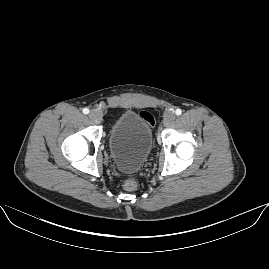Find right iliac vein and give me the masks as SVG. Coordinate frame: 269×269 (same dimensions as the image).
Listing matches in <instances>:
<instances>
[{"label": "right iliac vein", "mask_w": 269, "mask_h": 269, "mask_svg": "<svg viewBox=\"0 0 269 269\" xmlns=\"http://www.w3.org/2000/svg\"><path fill=\"white\" fill-rule=\"evenodd\" d=\"M89 118L92 122L98 124L100 122V114L96 111H91L89 113Z\"/></svg>", "instance_id": "obj_1"}]
</instances>
